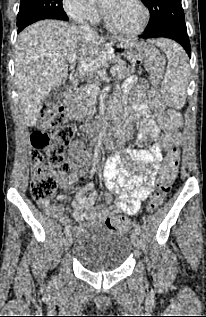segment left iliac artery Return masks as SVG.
Returning a JSON list of instances; mask_svg holds the SVG:
<instances>
[{"instance_id":"44dca946","label":"left iliac artery","mask_w":206,"mask_h":317,"mask_svg":"<svg viewBox=\"0 0 206 317\" xmlns=\"http://www.w3.org/2000/svg\"><path fill=\"white\" fill-rule=\"evenodd\" d=\"M135 232L139 235L141 233V228L139 225L135 226Z\"/></svg>"}]
</instances>
